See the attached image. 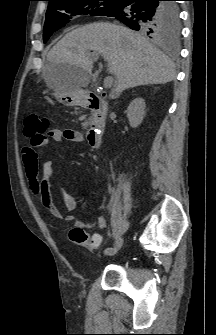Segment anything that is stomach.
<instances>
[{"instance_id":"0dacf381","label":"stomach","mask_w":216,"mask_h":335,"mask_svg":"<svg viewBox=\"0 0 216 335\" xmlns=\"http://www.w3.org/2000/svg\"><path fill=\"white\" fill-rule=\"evenodd\" d=\"M53 84L54 98L65 106H76L81 103L83 93L80 89H74L64 76L53 73L49 79Z\"/></svg>"}]
</instances>
